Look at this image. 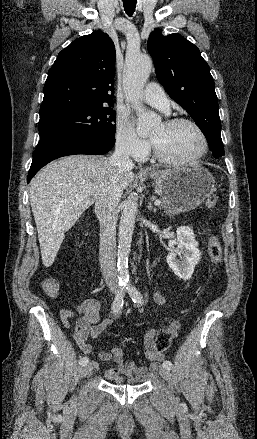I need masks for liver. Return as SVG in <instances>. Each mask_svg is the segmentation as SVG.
<instances>
[{"instance_id": "obj_1", "label": "liver", "mask_w": 257, "mask_h": 439, "mask_svg": "<svg viewBox=\"0 0 257 439\" xmlns=\"http://www.w3.org/2000/svg\"><path fill=\"white\" fill-rule=\"evenodd\" d=\"M114 177L121 191L134 180L130 169L114 167L109 158L72 155L48 164L32 179L29 196L44 266L53 264L65 233Z\"/></svg>"}]
</instances>
